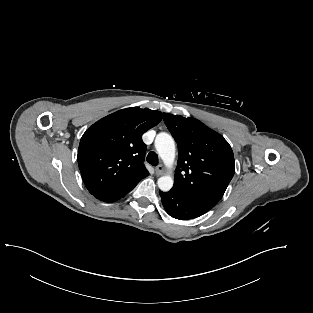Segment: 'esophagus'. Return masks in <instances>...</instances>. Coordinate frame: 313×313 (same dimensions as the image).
I'll return each mask as SVG.
<instances>
[{"instance_id": "1", "label": "esophagus", "mask_w": 313, "mask_h": 313, "mask_svg": "<svg viewBox=\"0 0 313 313\" xmlns=\"http://www.w3.org/2000/svg\"><path fill=\"white\" fill-rule=\"evenodd\" d=\"M155 171H156V174H157V175H162L163 172H164V166H163V165L157 166L156 169H155Z\"/></svg>"}]
</instances>
